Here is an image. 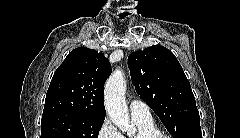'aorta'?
<instances>
[{
    "label": "aorta",
    "mask_w": 240,
    "mask_h": 138,
    "mask_svg": "<svg viewBox=\"0 0 240 138\" xmlns=\"http://www.w3.org/2000/svg\"><path fill=\"white\" fill-rule=\"evenodd\" d=\"M126 81L121 70H116L105 84L104 102L110 120L120 130L132 135L135 132L130 124L128 107L125 100Z\"/></svg>",
    "instance_id": "aorta-1"
}]
</instances>
